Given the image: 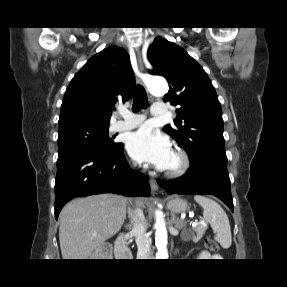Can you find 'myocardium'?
<instances>
[{
    "mask_svg": "<svg viewBox=\"0 0 287 287\" xmlns=\"http://www.w3.org/2000/svg\"><path fill=\"white\" fill-rule=\"evenodd\" d=\"M173 154L177 158V164L171 168H165L164 173L168 177L176 178L184 175L190 168V157L182 149L173 150Z\"/></svg>",
    "mask_w": 287,
    "mask_h": 287,
    "instance_id": "myocardium-1",
    "label": "myocardium"
}]
</instances>
